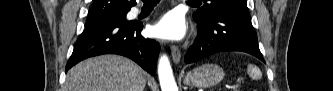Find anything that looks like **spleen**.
<instances>
[{
	"label": "spleen",
	"instance_id": "1",
	"mask_svg": "<svg viewBox=\"0 0 333 91\" xmlns=\"http://www.w3.org/2000/svg\"><path fill=\"white\" fill-rule=\"evenodd\" d=\"M247 72L248 75L254 80H258L262 77V73L259 68L253 64H248Z\"/></svg>",
	"mask_w": 333,
	"mask_h": 91
}]
</instances>
